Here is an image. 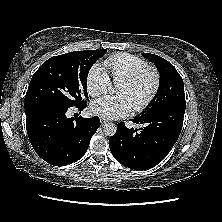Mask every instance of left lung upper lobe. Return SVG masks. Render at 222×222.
<instances>
[{
    "label": "left lung upper lobe",
    "instance_id": "left-lung-upper-lobe-1",
    "mask_svg": "<svg viewBox=\"0 0 222 222\" xmlns=\"http://www.w3.org/2000/svg\"><path fill=\"white\" fill-rule=\"evenodd\" d=\"M142 55L154 63L160 73L157 99L145 114L171 105L186 107L183 80L175 67L157 55L150 53H144Z\"/></svg>",
    "mask_w": 222,
    "mask_h": 222
}]
</instances>
